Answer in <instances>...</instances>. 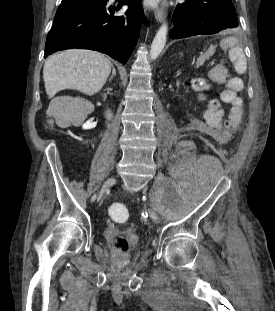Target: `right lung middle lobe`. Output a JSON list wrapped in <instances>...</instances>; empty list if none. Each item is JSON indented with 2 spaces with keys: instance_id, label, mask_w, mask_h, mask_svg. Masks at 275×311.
Masks as SVG:
<instances>
[{
  "instance_id": "right-lung-middle-lobe-1",
  "label": "right lung middle lobe",
  "mask_w": 275,
  "mask_h": 311,
  "mask_svg": "<svg viewBox=\"0 0 275 311\" xmlns=\"http://www.w3.org/2000/svg\"><path fill=\"white\" fill-rule=\"evenodd\" d=\"M107 3V0H68L63 1L59 6L58 11L56 13V17L78 9L94 7V6H102Z\"/></svg>"
}]
</instances>
